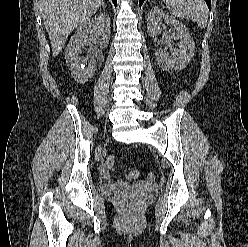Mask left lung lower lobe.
Here are the masks:
<instances>
[{
  "mask_svg": "<svg viewBox=\"0 0 248 247\" xmlns=\"http://www.w3.org/2000/svg\"><path fill=\"white\" fill-rule=\"evenodd\" d=\"M205 1H206L207 5H208V7H209V9H210L211 0H205ZM143 2H144V0H139V6H140V8H141Z\"/></svg>",
  "mask_w": 248,
  "mask_h": 247,
  "instance_id": "1",
  "label": "left lung lower lobe"
}]
</instances>
